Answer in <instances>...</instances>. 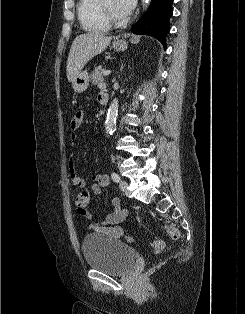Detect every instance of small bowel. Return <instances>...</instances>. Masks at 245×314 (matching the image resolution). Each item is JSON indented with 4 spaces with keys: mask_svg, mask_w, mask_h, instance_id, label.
Returning a JSON list of instances; mask_svg holds the SVG:
<instances>
[{
    "mask_svg": "<svg viewBox=\"0 0 245 314\" xmlns=\"http://www.w3.org/2000/svg\"><path fill=\"white\" fill-rule=\"evenodd\" d=\"M99 102H101L100 95H99ZM83 120V112L81 110L76 111L72 119L70 121V129H71V143L74 145L77 142V134L76 131L80 127ZM69 177L71 183L79 188H83L86 186L85 179L78 174L76 167H75V160L74 157L71 156L69 161ZM111 188V182L108 176L106 175H96L93 177V183L89 186V191L94 195L101 194L102 190H109ZM111 204L113 210L105 216L103 221L101 222H91L88 225V229L90 231L99 233L101 235L107 236L113 239H120L123 234L124 230L119 225L122 223L127 217V210L121 208L120 200L117 197L111 199ZM84 218L88 220L93 219V215L91 212L86 210L84 213L79 212Z\"/></svg>",
    "mask_w": 245,
    "mask_h": 314,
    "instance_id": "c3829d8e",
    "label": "small bowel"
}]
</instances>
